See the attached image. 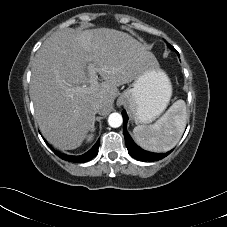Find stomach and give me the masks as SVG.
I'll return each mask as SVG.
<instances>
[{
  "label": "stomach",
  "mask_w": 227,
  "mask_h": 227,
  "mask_svg": "<svg viewBox=\"0 0 227 227\" xmlns=\"http://www.w3.org/2000/svg\"><path fill=\"white\" fill-rule=\"evenodd\" d=\"M171 95L167 74L159 66H151L134 79L119 101L127 107L135 123L148 124L166 109Z\"/></svg>",
  "instance_id": "stomach-1"
}]
</instances>
